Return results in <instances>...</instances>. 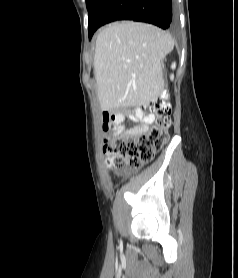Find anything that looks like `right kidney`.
<instances>
[{
	"mask_svg": "<svg viewBox=\"0 0 238 278\" xmlns=\"http://www.w3.org/2000/svg\"><path fill=\"white\" fill-rule=\"evenodd\" d=\"M175 63H173V65H172V69H174L175 68ZM171 79H173V75L171 76Z\"/></svg>",
	"mask_w": 238,
	"mask_h": 278,
	"instance_id": "obj_1",
	"label": "right kidney"
}]
</instances>
